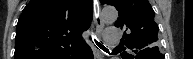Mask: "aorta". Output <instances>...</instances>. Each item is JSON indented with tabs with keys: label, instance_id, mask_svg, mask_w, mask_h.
<instances>
[{
	"label": "aorta",
	"instance_id": "1",
	"mask_svg": "<svg viewBox=\"0 0 193 59\" xmlns=\"http://www.w3.org/2000/svg\"><path fill=\"white\" fill-rule=\"evenodd\" d=\"M102 19L107 23L115 22L118 18V12L114 7H105L102 10Z\"/></svg>",
	"mask_w": 193,
	"mask_h": 59
}]
</instances>
